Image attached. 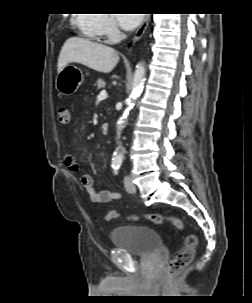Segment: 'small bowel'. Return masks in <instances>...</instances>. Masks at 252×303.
Instances as JSON below:
<instances>
[{"label":"small bowel","mask_w":252,"mask_h":303,"mask_svg":"<svg viewBox=\"0 0 252 303\" xmlns=\"http://www.w3.org/2000/svg\"><path fill=\"white\" fill-rule=\"evenodd\" d=\"M64 164L70 172H79V165L74 154H67L64 158ZM80 184L84 191L89 195L91 202L94 204L101 205L113 200H118L120 198V195L117 192H112L109 190H101L98 192L95 191L94 182L91 175L82 174L80 176Z\"/></svg>","instance_id":"c3829d8e"}]
</instances>
